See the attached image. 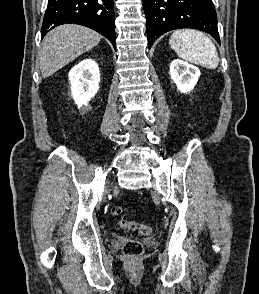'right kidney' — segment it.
<instances>
[{"instance_id":"obj_1","label":"right kidney","mask_w":259,"mask_h":294,"mask_svg":"<svg viewBox=\"0 0 259 294\" xmlns=\"http://www.w3.org/2000/svg\"><path fill=\"white\" fill-rule=\"evenodd\" d=\"M71 95L78 105L87 106L99 90L100 71L92 59H85L75 65L69 72Z\"/></svg>"}]
</instances>
